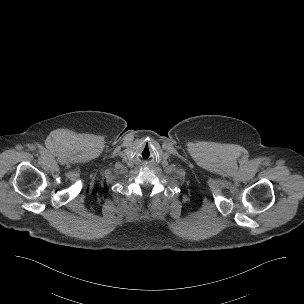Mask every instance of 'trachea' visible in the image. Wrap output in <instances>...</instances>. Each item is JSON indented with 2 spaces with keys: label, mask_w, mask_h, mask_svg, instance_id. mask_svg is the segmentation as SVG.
Instances as JSON below:
<instances>
[{
  "label": "trachea",
  "mask_w": 304,
  "mask_h": 304,
  "mask_svg": "<svg viewBox=\"0 0 304 304\" xmlns=\"http://www.w3.org/2000/svg\"><path fill=\"white\" fill-rule=\"evenodd\" d=\"M151 155V150L148 147H143L139 150V157L141 159H148Z\"/></svg>",
  "instance_id": "obj_1"
}]
</instances>
